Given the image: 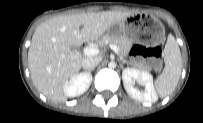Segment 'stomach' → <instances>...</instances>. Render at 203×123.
I'll return each instance as SVG.
<instances>
[{
    "instance_id": "stomach-1",
    "label": "stomach",
    "mask_w": 203,
    "mask_h": 123,
    "mask_svg": "<svg viewBox=\"0 0 203 123\" xmlns=\"http://www.w3.org/2000/svg\"><path fill=\"white\" fill-rule=\"evenodd\" d=\"M110 35H123L130 42H143L156 46L163 42L165 31L163 25L154 17L141 16L138 20L127 21L113 25Z\"/></svg>"
}]
</instances>
